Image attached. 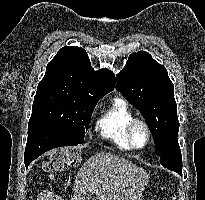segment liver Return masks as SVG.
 I'll return each instance as SVG.
<instances>
[{
  "label": "liver",
  "mask_w": 205,
  "mask_h": 200,
  "mask_svg": "<svg viewBox=\"0 0 205 200\" xmlns=\"http://www.w3.org/2000/svg\"><path fill=\"white\" fill-rule=\"evenodd\" d=\"M149 181L147 172L125 158L110 152H97L79 169L71 200H80L88 192L98 200H140ZM37 200H63L48 189Z\"/></svg>",
  "instance_id": "obj_1"
}]
</instances>
